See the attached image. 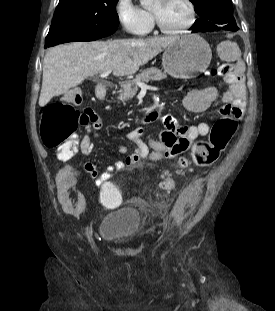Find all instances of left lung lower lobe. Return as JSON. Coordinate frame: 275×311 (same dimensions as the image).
I'll list each match as a JSON object with an SVG mask.
<instances>
[{"mask_svg": "<svg viewBox=\"0 0 275 311\" xmlns=\"http://www.w3.org/2000/svg\"><path fill=\"white\" fill-rule=\"evenodd\" d=\"M193 32H198V31H196V30L193 29Z\"/></svg>", "mask_w": 275, "mask_h": 311, "instance_id": "0a47b994", "label": "left lung lower lobe"}]
</instances>
